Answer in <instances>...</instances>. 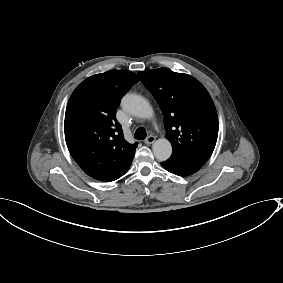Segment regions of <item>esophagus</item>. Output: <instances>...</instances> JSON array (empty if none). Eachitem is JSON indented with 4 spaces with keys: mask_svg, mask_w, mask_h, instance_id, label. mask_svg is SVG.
Wrapping results in <instances>:
<instances>
[{
    "mask_svg": "<svg viewBox=\"0 0 283 283\" xmlns=\"http://www.w3.org/2000/svg\"><path fill=\"white\" fill-rule=\"evenodd\" d=\"M155 139H156V138H155L154 136L150 135V136H148V137L145 139L144 143H145V144H152V143L155 142Z\"/></svg>",
    "mask_w": 283,
    "mask_h": 283,
    "instance_id": "esophagus-1",
    "label": "esophagus"
}]
</instances>
